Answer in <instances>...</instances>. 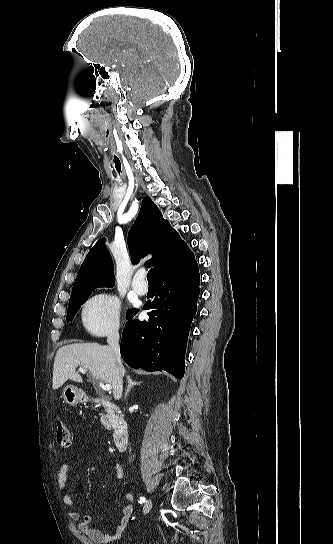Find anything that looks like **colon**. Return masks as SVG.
<instances>
[{"instance_id":"obj_1","label":"colon","mask_w":333,"mask_h":544,"mask_svg":"<svg viewBox=\"0 0 333 544\" xmlns=\"http://www.w3.org/2000/svg\"><path fill=\"white\" fill-rule=\"evenodd\" d=\"M57 442L63 448H70L73 445V437L68 426L61 420L56 423Z\"/></svg>"}]
</instances>
